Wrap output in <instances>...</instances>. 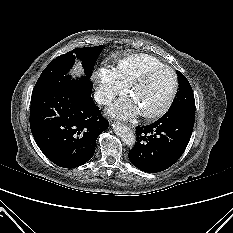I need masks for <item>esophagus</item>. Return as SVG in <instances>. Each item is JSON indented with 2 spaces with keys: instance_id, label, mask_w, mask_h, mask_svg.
<instances>
[{
  "instance_id": "34e87169",
  "label": "esophagus",
  "mask_w": 233,
  "mask_h": 233,
  "mask_svg": "<svg viewBox=\"0 0 233 233\" xmlns=\"http://www.w3.org/2000/svg\"><path fill=\"white\" fill-rule=\"evenodd\" d=\"M130 129H134V126L133 125H128Z\"/></svg>"
}]
</instances>
